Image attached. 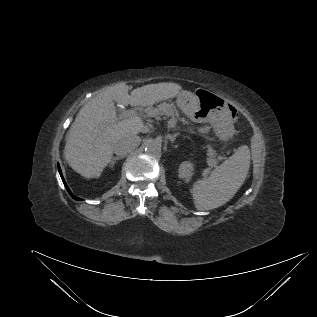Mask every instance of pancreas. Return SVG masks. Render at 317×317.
Listing matches in <instances>:
<instances>
[{
	"mask_svg": "<svg viewBox=\"0 0 317 317\" xmlns=\"http://www.w3.org/2000/svg\"><path fill=\"white\" fill-rule=\"evenodd\" d=\"M145 113L147 114L148 117H154V118H158L160 115H167L177 120V118L179 117L178 110L175 109L169 103H162L155 108L148 107L147 109H145ZM220 159H222V157L218 156L217 153L211 147H208V160H207L208 165L211 167L216 166L218 163V160Z\"/></svg>",
	"mask_w": 317,
	"mask_h": 317,
	"instance_id": "1",
	"label": "pancreas"
}]
</instances>
